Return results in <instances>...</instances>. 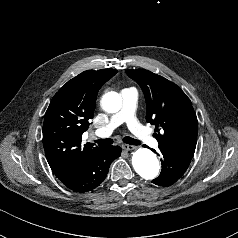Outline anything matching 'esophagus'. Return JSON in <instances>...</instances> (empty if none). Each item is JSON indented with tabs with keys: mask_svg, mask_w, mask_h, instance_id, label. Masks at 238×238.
Here are the masks:
<instances>
[{
	"mask_svg": "<svg viewBox=\"0 0 238 238\" xmlns=\"http://www.w3.org/2000/svg\"><path fill=\"white\" fill-rule=\"evenodd\" d=\"M122 148H123L125 151H132V150H135L137 147H136V146H133V145L123 144V145H122Z\"/></svg>",
	"mask_w": 238,
	"mask_h": 238,
	"instance_id": "1",
	"label": "esophagus"
}]
</instances>
